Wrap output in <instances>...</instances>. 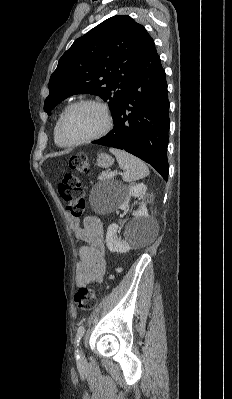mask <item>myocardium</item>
Segmentation results:
<instances>
[{"instance_id":"obj_1","label":"myocardium","mask_w":232,"mask_h":399,"mask_svg":"<svg viewBox=\"0 0 232 399\" xmlns=\"http://www.w3.org/2000/svg\"><path fill=\"white\" fill-rule=\"evenodd\" d=\"M78 105H95V106L100 107L103 110L104 115H105V125L100 132H98L97 134L92 135L88 138H84V139H73L68 135V133L66 132V129H65V121H66L68 114L71 112V110ZM112 127H113V117H112L110 108L101 101L91 100V99L79 100V101H76V102L70 104L63 112V114L60 118V123H59V130H60L62 137L71 145L86 144V143L100 140L103 137H105L112 130Z\"/></svg>"}]
</instances>
